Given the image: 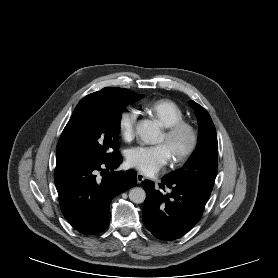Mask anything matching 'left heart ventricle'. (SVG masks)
I'll use <instances>...</instances> for the list:
<instances>
[{
    "instance_id": "1",
    "label": "left heart ventricle",
    "mask_w": 278,
    "mask_h": 278,
    "mask_svg": "<svg viewBox=\"0 0 278 278\" xmlns=\"http://www.w3.org/2000/svg\"><path fill=\"white\" fill-rule=\"evenodd\" d=\"M160 143L167 148L170 156L172 157L175 152L185 147V145L187 144V137L185 135H182L172 143H167L163 135L160 139Z\"/></svg>"
}]
</instances>
